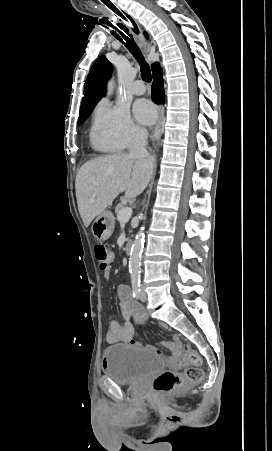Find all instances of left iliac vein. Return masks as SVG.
Returning a JSON list of instances; mask_svg holds the SVG:
<instances>
[{"mask_svg": "<svg viewBox=\"0 0 272 451\" xmlns=\"http://www.w3.org/2000/svg\"><path fill=\"white\" fill-rule=\"evenodd\" d=\"M146 300H147V295H146V292H145V288L142 287V291H141V301H142V302H145Z\"/></svg>", "mask_w": 272, "mask_h": 451, "instance_id": "1", "label": "left iliac vein"}]
</instances>
